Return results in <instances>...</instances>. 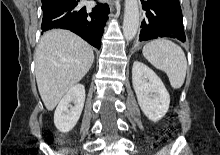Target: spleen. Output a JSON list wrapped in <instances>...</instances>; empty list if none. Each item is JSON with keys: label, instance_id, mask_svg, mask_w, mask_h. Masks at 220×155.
Masks as SVG:
<instances>
[{"label": "spleen", "instance_id": "spleen-1", "mask_svg": "<svg viewBox=\"0 0 220 155\" xmlns=\"http://www.w3.org/2000/svg\"><path fill=\"white\" fill-rule=\"evenodd\" d=\"M143 56L167 74L172 88H181L186 77L187 60L179 45L165 38L153 40L144 46Z\"/></svg>", "mask_w": 220, "mask_h": 155}]
</instances>
